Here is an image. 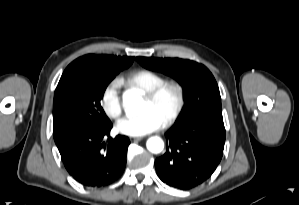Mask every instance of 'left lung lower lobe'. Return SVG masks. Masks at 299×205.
Returning a JSON list of instances; mask_svg holds the SVG:
<instances>
[{
  "mask_svg": "<svg viewBox=\"0 0 299 205\" xmlns=\"http://www.w3.org/2000/svg\"><path fill=\"white\" fill-rule=\"evenodd\" d=\"M165 136L169 146L155 161L159 178L181 190L194 188L208 179L221 161L225 143L222 112L176 121Z\"/></svg>",
  "mask_w": 299,
  "mask_h": 205,
  "instance_id": "left-lung-lower-lobe-1",
  "label": "left lung lower lobe"
}]
</instances>
